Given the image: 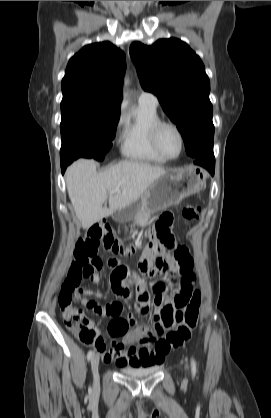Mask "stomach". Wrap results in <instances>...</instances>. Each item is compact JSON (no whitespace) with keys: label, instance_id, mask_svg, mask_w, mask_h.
I'll list each match as a JSON object with an SVG mask.
<instances>
[{"label":"stomach","instance_id":"stomach-1","mask_svg":"<svg viewBox=\"0 0 271 418\" xmlns=\"http://www.w3.org/2000/svg\"><path fill=\"white\" fill-rule=\"evenodd\" d=\"M207 172L189 165L176 174L166 173L156 179L135 202L117 211L113 218L128 221L141 210L157 212L180 203L184 198L200 192L206 185Z\"/></svg>","mask_w":271,"mask_h":418}]
</instances>
